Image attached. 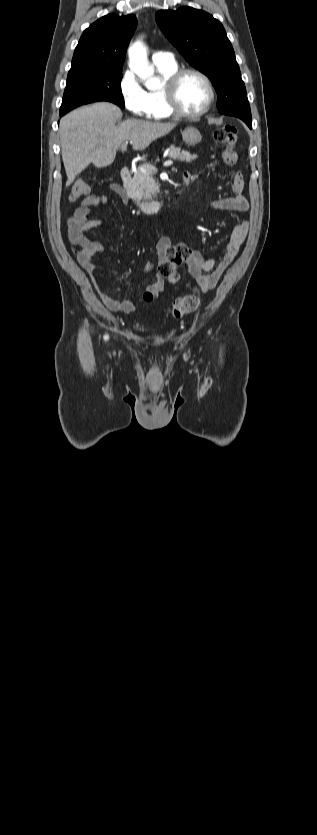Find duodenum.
I'll return each instance as SVG.
<instances>
[{
	"mask_svg": "<svg viewBox=\"0 0 317 835\" xmlns=\"http://www.w3.org/2000/svg\"><path fill=\"white\" fill-rule=\"evenodd\" d=\"M130 178H131V170H130V168H129L128 166H125V167L121 170V180H122V182H123V185H124V186H126V185L129 183ZM134 203L136 204V206H137L140 210H142V211H144V212H148V213H158V212H160V211L163 209V207H164L163 202H160V201H140V200H134Z\"/></svg>",
	"mask_w": 317,
	"mask_h": 835,
	"instance_id": "obj_1",
	"label": "duodenum"
}]
</instances>
